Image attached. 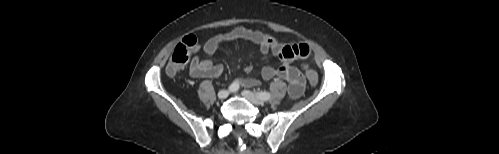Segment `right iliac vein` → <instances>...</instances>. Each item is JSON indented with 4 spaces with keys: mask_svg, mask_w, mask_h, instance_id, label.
Returning a JSON list of instances; mask_svg holds the SVG:
<instances>
[{
    "mask_svg": "<svg viewBox=\"0 0 499 154\" xmlns=\"http://www.w3.org/2000/svg\"><path fill=\"white\" fill-rule=\"evenodd\" d=\"M229 91L228 90H220L218 92V98L220 99H226L229 96Z\"/></svg>",
    "mask_w": 499,
    "mask_h": 154,
    "instance_id": "63e3f726",
    "label": "right iliac vein"
}]
</instances>
